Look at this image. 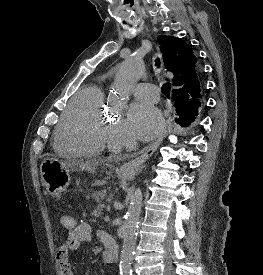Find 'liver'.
<instances>
[{"label": "liver", "mask_w": 263, "mask_h": 275, "mask_svg": "<svg viewBox=\"0 0 263 275\" xmlns=\"http://www.w3.org/2000/svg\"><path fill=\"white\" fill-rule=\"evenodd\" d=\"M96 162H85V163H81L79 164V167L82 169V170H86V171H94L95 170V167H96Z\"/></svg>", "instance_id": "liver-1"}]
</instances>
